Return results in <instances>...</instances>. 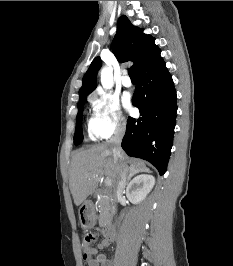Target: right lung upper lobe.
Returning <instances> with one entry per match:
<instances>
[{
    "instance_id": "right-lung-upper-lobe-1",
    "label": "right lung upper lobe",
    "mask_w": 233,
    "mask_h": 266,
    "mask_svg": "<svg viewBox=\"0 0 233 266\" xmlns=\"http://www.w3.org/2000/svg\"><path fill=\"white\" fill-rule=\"evenodd\" d=\"M154 38L142 33V30L131 24L123 15L117 24V33L112 43V50L120 62L132 61L135 73L148 65L160 55ZM101 67V60L96 57L83 77V85L79 90V99L85 98L96 88V76Z\"/></svg>"
}]
</instances>
